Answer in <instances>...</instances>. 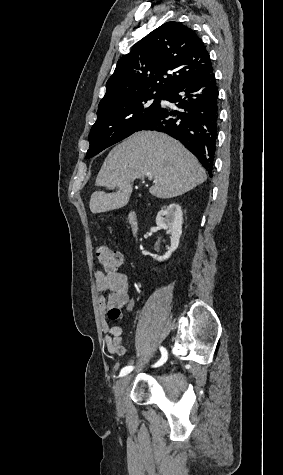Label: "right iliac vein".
<instances>
[{"label":"right iliac vein","mask_w":283,"mask_h":475,"mask_svg":"<svg viewBox=\"0 0 283 475\" xmlns=\"http://www.w3.org/2000/svg\"><path fill=\"white\" fill-rule=\"evenodd\" d=\"M129 380H130V376L126 375V376L122 377L116 385L115 399H116L117 409H118L119 413L122 412L123 407H124L123 396H124V393H125V390H126V387H127V384L129 382Z\"/></svg>","instance_id":"obj_1"}]
</instances>
